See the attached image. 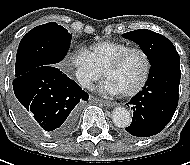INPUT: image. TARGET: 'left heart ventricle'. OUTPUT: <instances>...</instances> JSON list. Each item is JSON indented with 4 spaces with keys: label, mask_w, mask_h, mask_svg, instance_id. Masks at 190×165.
Listing matches in <instances>:
<instances>
[{
    "label": "left heart ventricle",
    "mask_w": 190,
    "mask_h": 165,
    "mask_svg": "<svg viewBox=\"0 0 190 165\" xmlns=\"http://www.w3.org/2000/svg\"><path fill=\"white\" fill-rule=\"evenodd\" d=\"M145 60L138 52L130 53L123 62L107 75L109 80L120 92L133 88L142 78Z\"/></svg>",
    "instance_id": "1"
}]
</instances>
